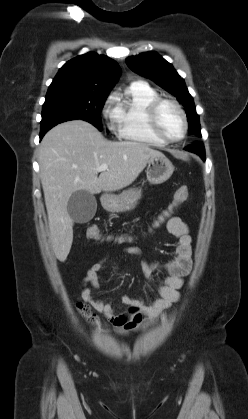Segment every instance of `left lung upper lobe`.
Returning a JSON list of instances; mask_svg holds the SVG:
<instances>
[{
    "instance_id": "5c2ea615",
    "label": "left lung upper lobe",
    "mask_w": 248,
    "mask_h": 419,
    "mask_svg": "<svg viewBox=\"0 0 248 419\" xmlns=\"http://www.w3.org/2000/svg\"><path fill=\"white\" fill-rule=\"evenodd\" d=\"M126 63L137 74L151 79L160 87L175 95L186 111L189 132L201 137L200 119L196 113L193 98L189 94L184 80L170 63L152 51L128 57Z\"/></svg>"
}]
</instances>
